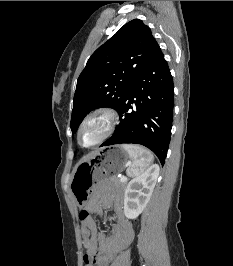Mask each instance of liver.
I'll use <instances>...</instances> for the list:
<instances>
[{
    "label": "liver",
    "instance_id": "liver-1",
    "mask_svg": "<svg viewBox=\"0 0 233 266\" xmlns=\"http://www.w3.org/2000/svg\"><path fill=\"white\" fill-rule=\"evenodd\" d=\"M95 153H96V152H94V153H90V154L87 155L84 159H82V160L80 161V163H83V162H86V161L90 160V159L95 155Z\"/></svg>",
    "mask_w": 233,
    "mask_h": 266
}]
</instances>
